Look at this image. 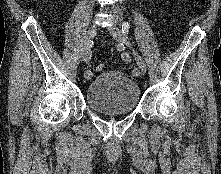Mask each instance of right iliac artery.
Returning <instances> with one entry per match:
<instances>
[{
    "instance_id": "82829eb1",
    "label": "right iliac artery",
    "mask_w": 221,
    "mask_h": 174,
    "mask_svg": "<svg viewBox=\"0 0 221 174\" xmlns=\"http://www.w3.org/2000/svg\"><path fill=\"white\" fill-rule=\"evenodd\" d=\"M90 59H91V52L88 53L87 58L85 60L87 65L89 64ZM84 77L86 80H90L93 77V72L88 66L86 67Z\"/></svg>"
}]
</instances>
